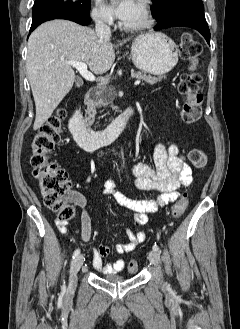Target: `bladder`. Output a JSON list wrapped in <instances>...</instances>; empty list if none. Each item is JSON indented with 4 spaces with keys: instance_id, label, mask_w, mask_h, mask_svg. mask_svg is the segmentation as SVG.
Here are the masks:
<instances>
[{
    "instance_id": "1",
    "label": "bladder",
    "mask_w": 240,
    "mask_h": 329,
    "mask_svg": "<svg viewBox=\"0 0 240 329\" xmlns=\"http://www.w3.org/2000/svg\"><path fill=\"white\" fill-rule=\"evenodd\" d=\"M107 279L111 282H121L124 280V278L120 276H112V277H108Z\"/></svg>"
}]
</instances>
